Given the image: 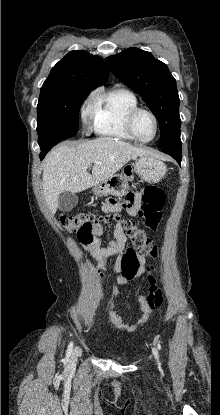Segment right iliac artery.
Returning <instances> with one entry per match:
<instances>
[{
  "label": "right iliac artery",
  "mask_w": 220,
  "mask_h": 415,
  "mask_svg": "<svg viewBox=\"0 0 220 415\" xmlns=\"http://www.w3.org/2000/svg\"><path fill=\"white\" fill-rule=\"evenodd\" d=\"M72 349H73V342H70V344L68 346V349H67V353H66V361L69 360V357L72 353Z\"/></svg>",
  "instance_id": "82829eb1"
}]
</instances>
